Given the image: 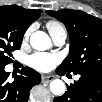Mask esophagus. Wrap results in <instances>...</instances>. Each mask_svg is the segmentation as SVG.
Instances as JSON below:
<instances>
[{
    "instance_id": "esophagus-1",
    "label": "esophagus",
    "mask_w": 102,
    "mask_h": 102,
    "mask_svg": "<svg viewBox=\"0 0 102 102\" xmlns=\"http://www.w3.org/2000/svg\"><path fill=\"white\" fill-rule=\"evenodd\" d=\"M54 79V76L43 75L41 80L43 83H49Z\"/></svg>"
}]
</instances>
